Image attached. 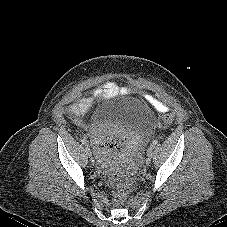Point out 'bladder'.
<instances>
[{
	"instance_id": "31cf9c89",
	"label": "bladder",
	"mask_w": 227,
	"mask_h": 227,
	"mask_svg": "<svg viewBox=\"0 0 227 227\" xmlns=\"http://www.w3.org/2000/svg\"><path fill=\"white\" fill-rule=\"evenodd\" d=\"M105 102L97 105L90 113V123L92 126L102 124L124 125L128 128L148 136L153 131L154 119L148 109L131 103L130 106H124L123 103Z\"/></svg>"
}]
</instances>
